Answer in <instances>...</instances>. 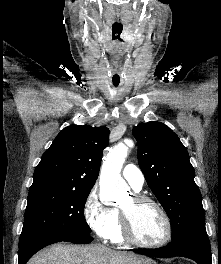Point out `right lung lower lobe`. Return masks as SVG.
Segmentation results:
<instances>
[{
	"mask_svg": "<svg viewBox=\"0 0 221 264\" xmlns=\"http://www.w3.org/2000/svg\"><path fill=\"white\" fill-rule=\"evenodd\" d=\"M93 238L90 235L85 236H51L42 237L29 241L19 246L18 264H26V262L40 249L57 242H71L76 244L90 243Z\"/></svg>",
	"mask_w": 221,
	"mask_h": 264,
	"instance_id": "obj_1",
	"label": "right lung lower lobe"
}]
</instances>
